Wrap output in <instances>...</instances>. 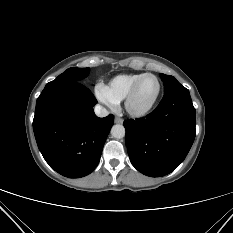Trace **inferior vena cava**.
I'll return each mask as SVG.
<instances>
[{"instance_id":"602c4592","label":"inferior vena cava","mask_w":233,"mask_h":233,"mask_svg":"<svg viewBox=\"0 0 233 233\" xmlns=\"http://www.w3.org/2000/svg\"><path fill=\"white\" fill-rule=\"evenodd\" d=\"M94 112L98 117H106L109 114L108 110L101 105H96Z\"/></svg>"}]
</instances>
